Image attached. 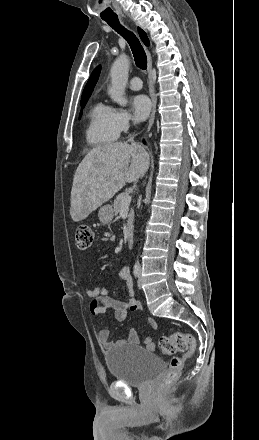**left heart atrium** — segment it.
Listing matches in <instances>:
<instances>
[{
    "label": "left heart atrium",
    "instance_id": "1",
    "mask_svg": "<svg viewBox=\"0 0 259 440\" xmlns=\"http://www.w3.org/2000/svg\"><path fill=\"white\" fill-rule=\"evenodd\" d=\"M134 112L138 119L144 120L147 118L151 110V101L146 95H137L132 101Z\"/></svg>",
    "mask_w": 259,
    "mask_h": 440
}]
</instances>
